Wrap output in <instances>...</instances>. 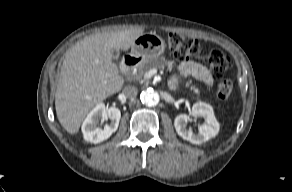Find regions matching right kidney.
Wrapping results in <instances>:
<instances>
[{
	"instance_id": "right-kidney-1",
	"label": "right kidney",
	"mask_w": 292,
	"mask_h": 192,
	"mask_svg": "<svg viewBox=\"0 0 292 192\" xmlns=\"http://www.w3.org/2000/svg\"><path fill=\"white\" fill-rule=\"evenodd\" d=\"M121 118V112L116 107L105 108L103 103L97 104L87 115L82 125L84 139L91 143H100L108 139L118 128ZM110 119V124L104 126V129L97 127L99 120Z\"/></svg>"
}]
</instances>
